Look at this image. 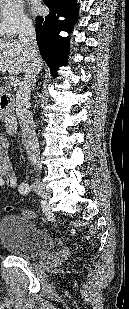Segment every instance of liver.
I'll use <instances>...</instances> for the list:
<instances>
[{"mask_svg": "<svg viewBox=\"0 0 129 309\" xmlns=\"http://www.w3.org/2000/svg\"><path fill=\"white\" fill-rule=\"evenodd\" d=\"M30 65L31 62L27 55V49L19 40L0 39V72L19 75L26 73Z\"/></svg>", "mask_w": 129, "mask_h": 309, "instance_id": "liver-1", "label": "liver"}]
</instances>
